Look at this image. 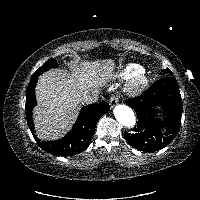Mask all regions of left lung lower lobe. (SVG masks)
<instances>
[{
	"mask_svg": "<svg viewBox=\"0 0 200 200\" xmlns=\"http://www.w3.org/2000/svg\"><path fill=\"white\" fill-rule=\"evenodd\" d=\"M127 104L135 110L138 118L133 132L124 133L130 146L154 152L166 147L176 137L181 124L182 99L175 78L167 76L157 80L141 96L128 99ZM158 106L165 112L163 124L154 118ZM162 127L166 131L161 132Z\"/></svg>",
	"mask_w": 200,
	"mask_h": 200,
	"instance_id": "0a47b994",
	"label": "left lung lower lobe"
}]
</instances>
